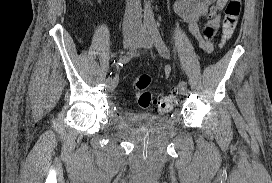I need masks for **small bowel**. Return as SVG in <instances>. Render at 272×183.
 Returning a JSON list of instances; mask_svg holds the SVG:
<instances>
[{
	"label": "small bowel",
	"mask_w": 272,
	"mask_h": 183,
	"mask_svg": "<svg viewBox=\"0 0 272 183\" xmlns=\"http://www.w3.org/2000/svg\"><path fill=\"white\" fill-rule=\"evenodd\" d=\"M228 0H176L174 9L178 15L187 23L192 36L198 47L205 53H212L214 45L212 36L220 26V11L225 7ZM206 19L203 30L200 20ZM170 66H166L164 74L169 76Z\"/></svg>",
	"instance_id": "small-bowel-1"
}]
</instances>
